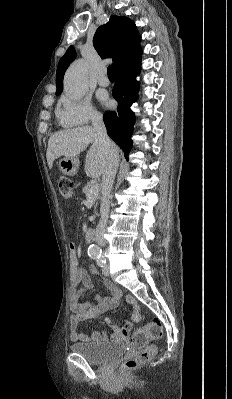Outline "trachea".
Returning a JSON list of instances; mask_svg holds the SVG:
<instances>
[{
    "mask_svg": "<svg viewBox=\"0 0 232 399\" xmlns=\"http://www.w3.org/2000/svg\"><path fill=\"white\" fill-rule=\"evenodd\" d=\"M107 74H108V77H115L112 65H109Z\"/></svg>",
    "mask_w": 232,
    "mask_h": 399,
    "instance_id": "3493384b",
    "label": "trachea"
}]
</instances>
